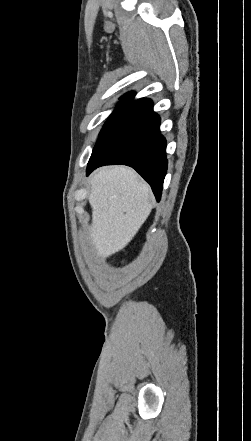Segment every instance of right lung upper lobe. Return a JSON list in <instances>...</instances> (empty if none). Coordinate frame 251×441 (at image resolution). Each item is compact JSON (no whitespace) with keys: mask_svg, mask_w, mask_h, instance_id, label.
Returning <instances> with one entry per match:
<instances>
[{"mask_svg":"<svg viewBox=\"0 0 251 441\" xmlns=\"http://www.w3.org/2000/svg\"><path fill=\"white\" fill-rule=\"evenodd\" d=\"M134 96H135L134 92H128L124 96H122L120 98V100L123 102L133 103V102H135V101H133Z\"/></svg>","mask_w":251,"mask_h":441,"instance_id":"1","label":"right lung upper lobe"}]
</instances>
